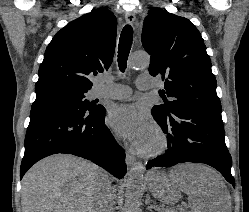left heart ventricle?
<instances>
[{
  "label": "left heart ventricle",
  "instance_id": "b2bd125f",
  "mask_svg": "<svg viewBox=\"0 0 249 212\" xmlns=\"http://www.w3.org/2000/svg\"><path fill=\"white\" fill-rule=\"evenodd\" d=\"M156 143H157V136L154 133V131L149 128V131L145 139L144 149L152 148L156 145Z\"/></svg>",
  "mask_w": 249,
  "mask_h": 212
}]
</instances>
